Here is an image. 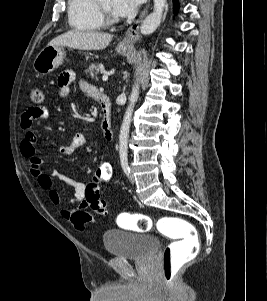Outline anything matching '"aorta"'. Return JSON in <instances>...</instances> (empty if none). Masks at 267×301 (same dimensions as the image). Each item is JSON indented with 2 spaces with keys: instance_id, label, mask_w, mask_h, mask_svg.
<instances>
[{
  "instance_id": "762f6f07",
  "label": "aorta",
  "mask_w": 267,
  "mask_h": 301,
  "mask_svg": "<svg viewBox=\"0 0 267 301\" xmlns=\"http://www.w3.org/2000/svg\"><path fill=\"white\" fill-rule=\"evenodd\" d=\"M166 0H154V9L142 22L140 27L141 34H152L160 25ZM139 97V80L137 79L135 85L132 88V92L129 98V105L126 109L123 122L120 128L119 134V156L121 160H126L128 155V138L130 124L132 121V112L135 103Z\"/></svg>"
}]
</instances>
